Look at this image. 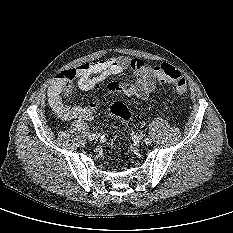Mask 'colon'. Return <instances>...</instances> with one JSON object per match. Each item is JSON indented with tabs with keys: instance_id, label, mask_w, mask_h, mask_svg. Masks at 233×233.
<instances>
[{
	"instance_id": "colon-1",
	"label": "colon",
	"mask_w": 233,
	"mask_h": 233,
	"mask_svg": "<svg viewBox=\"0 0 233 233\" xmlns=\"http://www.w3.org/2000/svg\"><path fill=\"white\" fill-rule=\"evenodd\" d=\"M156 77L161 83H172L178 94H184L187 91V82L179 70L170 64L162 63L155 66ZM72 79H68L63 85V92H69ZM113 115L119 117L125 123L132 120V114L122 102H114L110 106Z\"/></svg>"
}]
</instances>
